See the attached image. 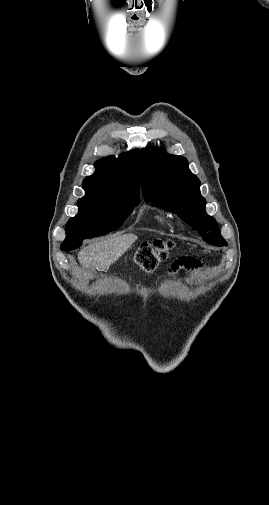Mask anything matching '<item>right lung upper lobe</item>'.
<instances>
[{"label": "right lung upper lobe", "mask_w": 269, "mask_h": 505, "mask_svg": "<svg viewBox=\"0 0 269 505\" xmlns=\"http://www.w3.org/2000/svg\"><path fill=\"white\" fill-rule=\"evenodd\" d=\"M96 172L83 180L84 197L139 198L140 151L132 150L118 158L109 156L95 163Z\"/></svg>", "instance_id": "obj_1"}]
</instances>
